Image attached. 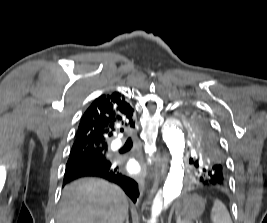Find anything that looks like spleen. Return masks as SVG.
Instances as JSON below:
<instances>
[{"instance_id": "1", "label": "spleen", "mask_w": 267, "mask_h": 223, "mask_svg": "<svg viewBox=\"0 0 267 223\" xmlns=\"http://www.w3.org/2000/svg\"><path fill=\"white\" fill-rule=\"evenodd\" d=\"M211 220L213 223H232L226 206L220 200L215 199L213 202ZM177 223H183V221L177 217Z\"/></svg>"}]
</instances>
